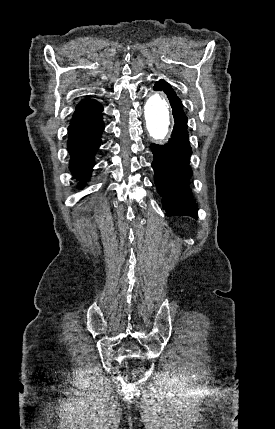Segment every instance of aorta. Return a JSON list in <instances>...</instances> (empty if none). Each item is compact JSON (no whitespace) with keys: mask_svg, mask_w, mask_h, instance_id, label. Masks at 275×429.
Listing matches in <instances>:
<instances>
[{"mask_svg":"<svg viewBox=\"0 0 275 429\" xmlns=\"http://www.w3.org/2000/svg\"><path fill=\"white\" fill-rule=\"evenodd\" d=\"M144 116L150 136L155 140L164 139L169 132L172 116L169 102L161 91L149 94L145 103Z\"/></svg>","mask_w":275,"mask_h":429,"instance_id":"aorta-1","label":"aorta"}]
</instances>
